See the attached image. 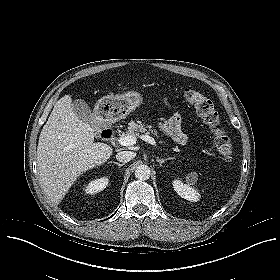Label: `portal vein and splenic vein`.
Returning <instances> with one entry per match:
<instances>
[{
  "label": "portal vein and splenic vein",
  "mask_w": 280,
  "mask_h": 280,
  "mask_svg": "<svg viewBox=\"0 0 280 280\" xmlns=\"http://www.w3.org/2000/svg\"><path fill=\"white\" fill-rule=\"evenodd\" d=\"M140 138L154 146H156V142L154 138L149 135H141ZM136 137L133 135H122L118 138V143L122 146H131L136 143Z\"/></svg>",
  "instance_id": "obj_1"
}]
</instances>
